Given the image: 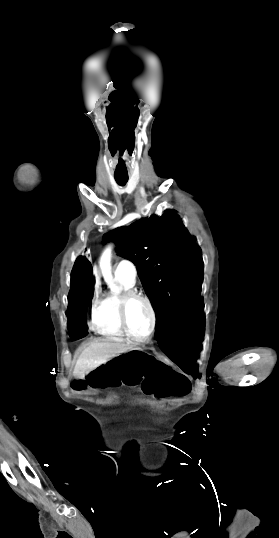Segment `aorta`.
Here are the masks:
<instances>
[{
  "mask_svg": "<svg viewBox=\"0 0 279 538\" xmlns=\"http://www.w3.org/2000/svg\"><path fill=\"white\" fill-rule=\"evenodd\" d=\"M113 246L108 245L100 259V268L104 277L105 282L108 284L111 291L118 293V287L112 281L111 273V256H112Z\"/></svg>",
  "mask_w": 279,
  "mask_h": 538,
  "instance_id": "aorta-1",
  "label": "aorta"
}]
</instances>
